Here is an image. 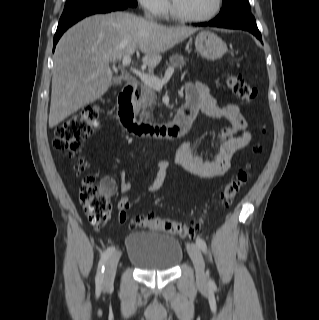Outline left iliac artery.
Returning <instances> with one entry per match:
<instances>
[{
  "label": "left iliac artery",
  "instance_id": "obj_1",
  "mask_svg": "<svg viewBox=\"0 0 319 320\" xmlns=\"http://www.w3.org/2000/svg\"><path fill=\"white\" fill-rule=\"evenodd\" d=\"M196 244L198 245V247H199L204 253L207 252L206 242H205L202 238L198 237V238L196 239ZM209 285H210V286H214V285H215L214 281L210 279V280H209Z\"/></svg>",
  "mask_w": 319,
  "mask_h": 320
}]
</instances>
